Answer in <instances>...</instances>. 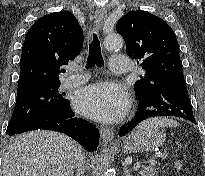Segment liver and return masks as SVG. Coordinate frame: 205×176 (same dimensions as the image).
Here are the masks:
<instances>
[{"label": "liver", "mask_w": 205, "mask_h": 176, "mask_svg": "<svg viewBox=\"0 0 205 176\" xmlns=\"http://www.w3.org/2000/svg\"><path fill=\"white\" fill-rule=\"evenodd\" d=\"M82 148L70 137L47 130L16 136L2 164L3 176H73Z\"/></svg>", "instance_id": "1"}]
</instances>
